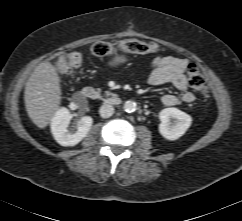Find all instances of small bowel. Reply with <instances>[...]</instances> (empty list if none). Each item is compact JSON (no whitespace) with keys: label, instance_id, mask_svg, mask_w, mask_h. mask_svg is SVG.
I'll use <instances>...</instances> for the list:
<instances>
[{"label":"small bowel","instance_id":"small-bowel-1","mask_svg":"<svg viewBox=\"0 0 242 221\" xmlns=\"http://www.w3.org/2000/svg\"><path fill=\"white\" fill-rule=\"evenodd\" d=\"M188 66V60L173 56L156 57L150 66L148 74V83L150 85L172 84L181 92V97L174 94H165L162 97V103L166 106H175L179 101L192 103L195 96L187 89V80L185 71Z\"/></svg>","mask_w":242,"mask_h":221}]
</instances>
